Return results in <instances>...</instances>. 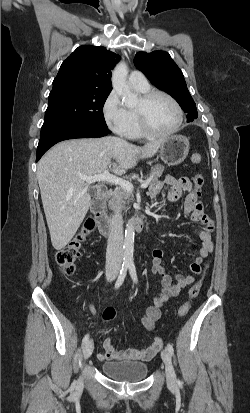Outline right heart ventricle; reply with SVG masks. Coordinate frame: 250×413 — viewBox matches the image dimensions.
<instances>
[{"label": "right heart ventricle", "instance_id": "right-heart-ventricle-1", "mask_svg": "<svg viewBox=\"0 0 250 413\" xmlns=\"http://www.w3.org/2000/svg\"><path fill=\"white\" fill-rule=\"evenodd\" d=\"M134 88V87H133ZM138 93H145L149 90V87H145V88H134ZM128 111V116H129V126H128V130H127V134L125 136H127L128 138H133V139H138L143 137L144 135L141 132L140 126H139V121H138V117L136 114V110L135 109H129Z\"/></svg>", "mask_w": 250, "mask_h": 413}]
</instances>
